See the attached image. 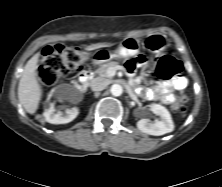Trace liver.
<instances>
[{
	"label": "liver",
	"instance_id": "6515ba94",
	"mask_svg": "<svg viewBox=\"0 0 222 187\" xmlns=\"http://www.w3.org/2000/svg\"><path fill=\"white\" fill-rule=\"evenodd\" d=\"M111 45L112 44L100 43L87 46L86 50H94ZM38 60L39 54H36L27 62L18 86L19 101L24 109L30 114H34L36 112L41 98V88L36 78Z\"/></svg>",
	"mask_w": 222,
	"mask_h": 187
}]
</instances>
